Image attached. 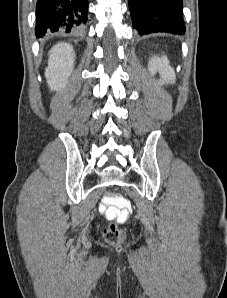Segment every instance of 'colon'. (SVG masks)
Segmentation results:
<instances>
[{"instance_id":"5ec220e1","label":"colon","mask_w":227,"mask_h":298,"mask_svg":"<svg viewBox=\"0 0 227 298\" xmlns=\"http://www.w3.org/2000/svg\"><path fill=\"white\" fill-rule=\"evenodd\" d=\"M103 205L105 215L109 220L125 221L130 212L129 203L121 196L108 195L104 198ZM103 235L105 240L112 245L120 244L125 238L124 231L118 228L115 223L108 224L103 230Z\"/></svg>"}]
</instances>
